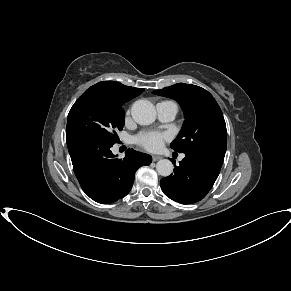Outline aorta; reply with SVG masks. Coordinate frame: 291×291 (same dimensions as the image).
Masks as SVG:
<instances>
[{"label":"aorta","instance_id":"obj_1","mask_svg":"<svg viewBox=\"0 0 291 291\" xmlns=\"http://www.w3.org/2000/svg\"><path fill=\"white\" fill-rule=\"evenodd\" d=\"M133 119L140 125H149L155 121V106L148 100H137L131 108ZM173 164L168 159H161L156 164V170L161 176H169L173 172Z\"/></svg>","mask_w":291,"mask_h":291}]
</instances>
